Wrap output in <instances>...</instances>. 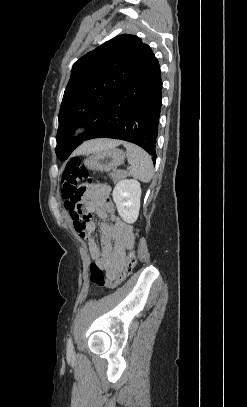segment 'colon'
Instances as JSON below:
<instances>
[{
    "label": "colon",
    "instance_id": "1",
    "mask_svg": "<svg viewBox=\"0 0 247 407\" xmlns=\"http://www.w3.org/2000/svg\"><path fill=\"white\" fill-rule=\"evenodd\" d=\"M85 181L90 183L88 171L82 165L81 160L79 158H73L68 161L62 174L61 191L63 197L73 204L79 203L85 192ZM135 264V253L131 250L124 270L116 279L110 280L103 273L100 266L96 262H93L89 267V280L99 287L114 288L131 275Z\"/></svg>",
    "mask_w": 247,
    "mask_h": 407
}]
</instances>
